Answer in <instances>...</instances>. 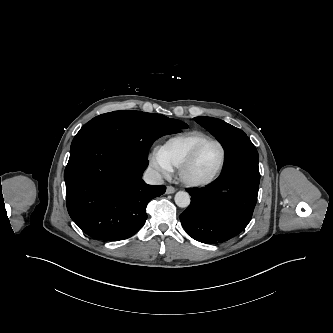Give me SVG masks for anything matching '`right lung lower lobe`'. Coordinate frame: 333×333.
Returning a JSON list of instances; mask_svg holds the SVG:
<instances>
[{"label":"right lung lower lobe","instance_id":"obj_1","mask_svg":"<svg viewBox=\"0 0 333 333\" xmlns=\"http://www.w3.org/2000/svg\"><path fill=\"white\" fill-rule=\"evenodd\" d=\"M148 163L100 139L72 145L64 172L66 204L72 220L84 233L99 240L133 236L147 219L148 202L166 190L164 185L143 181Z\"/></svg>","mask_w":333,"mask_h":333}]
</instances>
